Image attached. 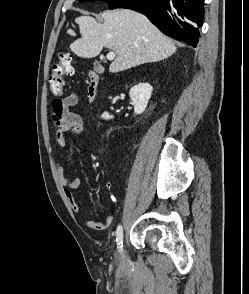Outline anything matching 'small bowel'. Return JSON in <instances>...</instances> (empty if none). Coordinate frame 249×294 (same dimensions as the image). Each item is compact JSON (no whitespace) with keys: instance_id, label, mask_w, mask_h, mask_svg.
Returning <instances> with one entry per match:
<instances>
[{"instance_id":"obj_1","label":"small bowel","mask_w":249,"mask_h":294,"mask_svg":"<svg viewBox=\"0 0 249 294\" xmlns=\"http://www.w3.org/2000/svg\"><path fill=\"white\" fill-rule=\"evenodd\" d=\"M79 97L76 92H71L63 98L55 99L51 104L52 117L56 127V145L59 151L65 147L67 137H77L85 132V125L82 117L72 112L70 109L78 104ZM57 175L64 189V194L70 203L73 212L78 213L81 209V202H87L88 198H77L74 190L78 187L77 178L68 176L60 162H57ZM113 215H108L103 222L92 219L87 220L86 224L93 230H105L113 224Z\"/></svg>"}]
</instances>
